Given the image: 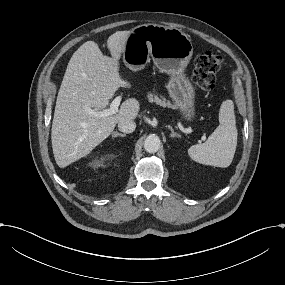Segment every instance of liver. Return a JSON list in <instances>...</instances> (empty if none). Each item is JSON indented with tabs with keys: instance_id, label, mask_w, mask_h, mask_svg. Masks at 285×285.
I'll return each instance as SVG.
<instances>
[{
	"instance_id": "liver-1",
	"label": "liver",
	"mask_w": 285,
	"mask_h": 285,
	"mask_svg": "<svg viewBox=\"0 0 285 285\" xmlns=\"http://www.w3.org/2000/svg\"><path fill=\"white\" fill-rule=\"evenodd\" d=\"M130 31H117L107 40L111 56H104L94 41L82 44L72 55L61 83L52 123V149L60 168L88 155L123 119L137 117L140 104L125 100L116 115L94 117L86 108H106L119 87L129 83L119 75V59Z\"/></svg>"
}]
</instances>
